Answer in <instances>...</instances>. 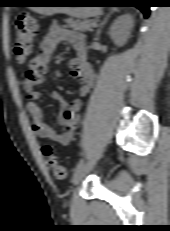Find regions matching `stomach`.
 <instances>
[{
  "instance_id": "0dacf381",
  "label": "stomach",
  "mask_w": 170,
  "mask_h": 231,
  "mask_svg": "<svg viewBox=\"0 0 170 231\" xmlns=\"http://www.w3.org/2000/svg\"><path fill=\"white\" fill-rule=\"evenodd\" d=\"M39 4H72L73 1L68 0H42L38 1ZM33 11L40 14L50 16L56 13H64L73 17L86 19L97 13V10L92 7H78V5H70L63 7H30Z\"/></svg>"
}]
</instances>
